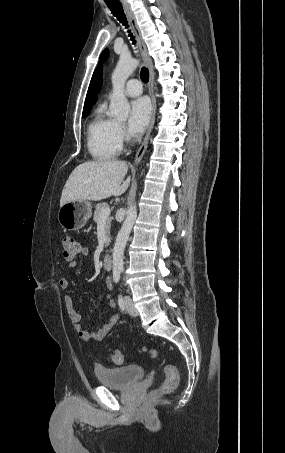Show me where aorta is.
Wrapping results in <instances>:
<instances>
[{"label":"aorta","mask_w":285,"mask_h":453,"mask_svg":"<svg viewBox=\"0 0 285 453\" xmlns=\"http://www.w3.org/2000/svg\"><path fill=\"white\" fill-rule=\"evenodd\" d=\"M138 60L120 56L117 66L112 74V94L110 96V115L119 119H125L130 111V105L125 96V82L137 68ZM137 218V207L133 203L128 211L127 217L118 232L113 248V273L120 274L123 271L124 249L129 238L130 232Z\"/></svg>","instance_id":"1"}]
</instances>
